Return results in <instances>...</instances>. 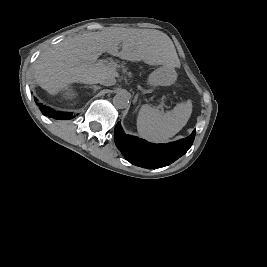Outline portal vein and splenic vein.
I'll return each instance as SVG.
<instances>
[{
	"instance_id": "1",
	"label": "portal vein and splenic vein",
	"mask_w": 267,
	"mask_h": 267,
	"mask_svg": "<svg viewBox=\"0 0 267 267\" xmlns=\"http://www.w3.org/2000/svg\"><path fill=\"white\" fill-rule=\"evenodd\" d=\"M113 68H116V64L115 63H111L110 64ZM162 107V106H161Z\"/></svg>"
}]
</instances>
